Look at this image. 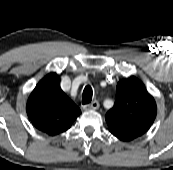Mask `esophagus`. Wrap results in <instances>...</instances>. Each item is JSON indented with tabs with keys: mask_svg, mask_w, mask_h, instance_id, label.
I'll list each match as a JSON object with an SVG mask.
<instances>
[{
	"mask_svg": "<svg viewBox=\"0 0 173 170\" xmlns=\"http://www.w3.org/2000/svg\"><path fill=\"white\" fill-rule=\"evenodd\" d=\"M99 102L98 101H96V100H94L93 102H91L90 104H87V105H84L83 106V109L85 110V111H87V110H97L98 108H99Z\"/></svg>",
	"mask_w": 173,
	"mask_h": 170,
	"instance_id": "1",
	"label": "esophagus"
}]
</instances>
